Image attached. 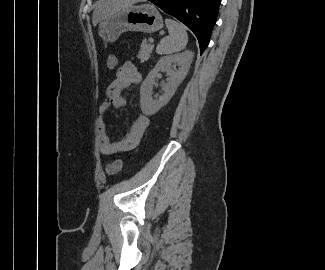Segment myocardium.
I'll return each mask as SVG.
<instances>
[{
  "mask_svg": "<svg viewBox=\"0 0 325 270\" xmlns=\"http://www.w3.org/2000/svg\"><path fill=\"white\" fill-rule=\"evenodd\" d=\"M128 2H138V1H145V0H127Z\"/></svg>",
  "mask_w": 325,
  "mask_h": 270,
  "instance_id": "obj_1",
  "label": "myocardium"
}]
</instances>
